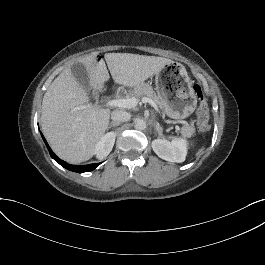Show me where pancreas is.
Instances as JSON below:
<instances>
[{"label":"pancreas","instance_id":"1","mask_svg":"<svg viewBox=\"0 0 265 265\" xmlns=\"http://www.w3.org/2000/svg\"><path fill=\"white\" fill-rule=\"evenodd\" d=\"M143 96L151 98L157 105H163V100L157 97L155 91L148 84H141L135 87L133 91L129 93V98L140 99ZM191 130V129H189Z\"/></svg>","mask_w":265,"mask_h":265}]
</instances>
